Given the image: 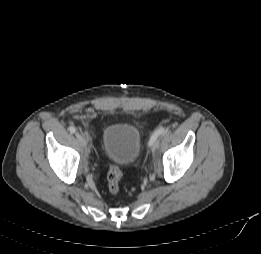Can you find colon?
Returning a JSON list of instances; mask_svg holds the SVG:
<instances>
[{
	"label": "colon",
	"instance_id": "5ec220e1",
	"mask_svg": "<svg viewBox=\"0 0 261 254\" xmlns=\"http://www.w3.org/2000/svg\"><path fill=\"white\" fill-rule=\"evenodd\" d=\"M122 170L117 165H111L107 173L108 190L112 195H116L120 189V181L122 179Z\"/></svg>",
	"mask_w": 261,
	"mask_h": 254
}]
</instances>
